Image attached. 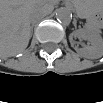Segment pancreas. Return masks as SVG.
I'll list each match as a JSON object with an SVG mask.
<instances>
[{"instance_id": "cf45deb5", "label": "pancreas", "mask_w": 103, "mask_h": 103, "mask_svg": "<svg viewBox=\"0 0 103 103\" xmlns=\"http://www.w3.org/2000/svg\"><path fill=\"white\" fill-rule=\"evenodd\" d=\"M78 12L81 14L82 17H84V18H89L88 12L83 11V10H79Z\"/></svg>"}]
</instances>
